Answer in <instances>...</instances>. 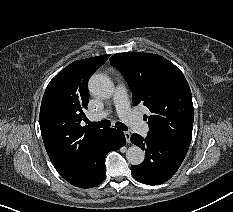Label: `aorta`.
I'll return each instance as SVG.
<instances>
[{"label":"aorta","mask_w":233,"mask_h":212,"mask_svg":"<svg viewBox=\"0 0 233 212\" xmlns=\"http://www.w3.org/2000/svg\"><path fill=\"white\" fill-rule=\"evenodd\" d=\"M90 92L100 98L108 99L114 93V85L109 77L103 74H94L89 80ZM145 154L138 146H131L126 151V159L132 165H139L144 161Z\"/></svg>","instance_id":"obj_1"}]
</instances>
